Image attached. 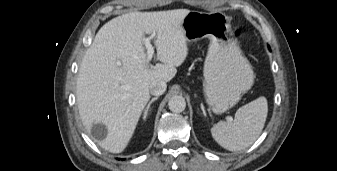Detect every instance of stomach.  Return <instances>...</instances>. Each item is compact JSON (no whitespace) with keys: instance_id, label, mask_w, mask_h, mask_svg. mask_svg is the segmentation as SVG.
I'll return each mask as SVG.
<instances>
[{"instance_id":"obj_1","label":"stomach","mask_w":337,"mask_h":171,"mask_svg":"<svg viewBox=\"0 0 337 171\" xmlns=\"http://www.w3.org/2000/svg\"><path fill=\"white\" fill-rule=\"evenodd\" d=\"M187 42L210 40L204 63L203 92L216 114L235 106L254 83L252 67L231 37L229 17L222 12L190 11L182 22Z\"/></svg>"}]
</instances>
